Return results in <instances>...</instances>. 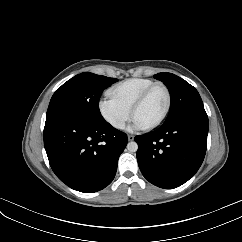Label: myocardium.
<instances>
[{
  "mask_svg": "<svg viewBox=\"0 0 242 242\" xmlns=\"http://www.w3.org/2000/svg\"><path fill=\"white\" fill-rule=\"evenodd\" d=\"M158 87L162 88L165 92L166 105H165L164 111H163L162 115L160 116V118L156 122H154L153 124L146 126L144 128V129H147V130H152V129L159 127L165 121V119L167 118L169 111H170V108H171V104H172V96H171V92H170L169 88L162 82L153 83L151 86L146 88L138 96V98L134 101V103H133V105L130 109L131 117L134 119V114H135L136 110L144 103V101L147 99V97L150 95V93Z\"/></svg>",
  "mask_w": 242,
  "mask_h": 242,
  "instance_id": "f54148a6",
  "label": "myocardium"
}]
</instances>
